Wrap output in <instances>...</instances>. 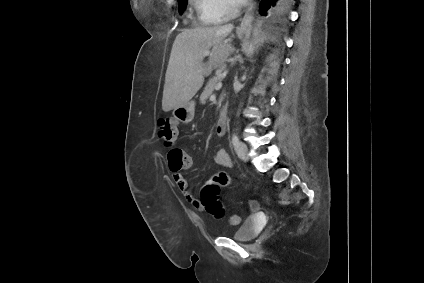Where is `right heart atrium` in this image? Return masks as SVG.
<instances>
[{"label":"right heart atrium","instance_id":"obj_1","mask_svg":"<svg viewBox=\"0 0 424 283\" xmlns=\"http://www.w3.org/2000/svg\"><path fill=\"white\" fill-rule=\"evenodd\" d=\"M197 8L202 18L216 17L219 20L234 15L238 9L237 0H197Z\"/></svg>","mask_w":424,"mask_h":283}]
</instances>
